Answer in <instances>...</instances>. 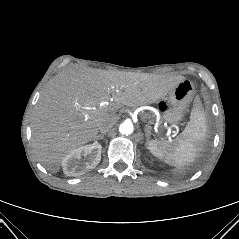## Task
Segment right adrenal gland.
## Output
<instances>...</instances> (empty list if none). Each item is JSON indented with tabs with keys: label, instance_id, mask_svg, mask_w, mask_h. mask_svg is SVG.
I'll return each instance as SVG.
<instances>
[{
	"label": "right adrenal gland",
	"instance_id": "2a0ac1e0",
	"mask_svg": "<svg viewBox=\"0 0 239 239\" xmlns=\"http://www.w3.org/2000/svg\"><path fill=\"white\" fill-rule=\"evenodd\" d=\"M100 139H102L103 138V135H100V136H98Z\"/></svg>",
	"mask_w": 239,
	"mask_h": 239
}]
</instances>
